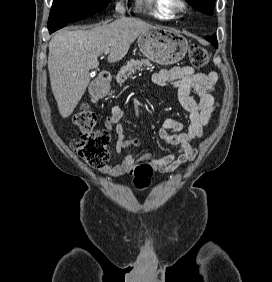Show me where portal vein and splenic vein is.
I'll return each instance as SVG.
<instances>
[{
  "label": "portal vein and splenic vein",
  "mask_w": 272,
  "mask_h": 282,
  "mask_svg": "<svg viewBox=\"0 0 272 282\" xmlns=\"http://www.w3.org/2000/svg\"><path fill=\"white\" fill-rule=\"evenodd\" d=\"M109 52H110V49L107 48V49H105L104 54L107 55Z\"/></svg>",
  "instance_id": "18ae733b"
}]
</instances>
